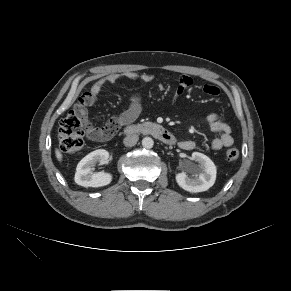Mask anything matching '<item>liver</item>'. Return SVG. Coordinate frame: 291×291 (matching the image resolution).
I'll return each mask as SVG.
<instances>
[{"label":"liver","mask_w":291,"mask_h":291,"mask_svg":"<svg viewBox=\"0 0 291 291\" xmlns=\"http://www.w3.org/2000/svg\"><path fill=\"white\" fill-rule=\"evenodd\" d=\"M55 155H56L57 160L61 162L63 156L59 149H55Z\"/></svg>","instance_id":"6515ba94"}]
</instances>
